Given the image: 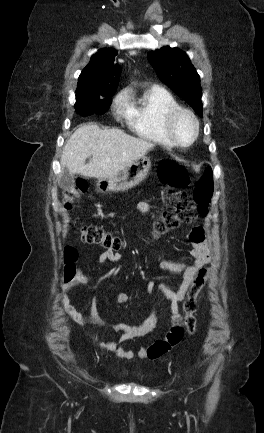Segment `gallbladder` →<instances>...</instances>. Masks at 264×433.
Here are the masks:
<instances>
[{
  "label": "gallbladder",
  "mask_w": 264,
  "mask_h": 433,
  "mask_svg": "<svg viewBox=\"0 0 264 433\" xmlns=\"http://www.w3.org/2000/svg\"><path fill=\"white\" fill-rule=\"evenodd\" d=\"M58 185L63 190H69L74 185V177L71 175L67 168L62 167L58 179Z\"/></svg>",
  "instance_id": "1"
}]
</instances>
